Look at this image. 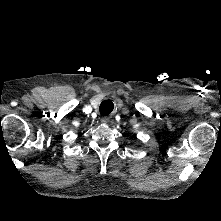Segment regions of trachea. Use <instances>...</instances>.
I'll return each mask as SVG.
<instances>
[{
  "label": "trachea",
  "mask_w": 221,
  "mask_h": 221,
  "mask_svg": "<svg viewBox=\"0 0 221 221\" xmlns=\"http://www.w3.org/2000/svg\"><path fill=\"white\" fill-rule=\"evenodd\" d=\"M113 103L110 100H105L100 105V113L102 116L109 115L113 110Z\"/></svg>",
  "instance_id": "3493384b"
}]
</instances>
